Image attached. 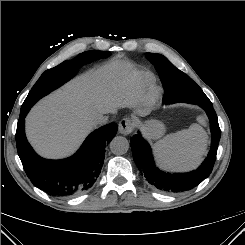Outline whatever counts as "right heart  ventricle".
<instances>
[{"mask_svg": "<svg viewBox=\"0 0 245 245\" xmlns=\"http://www.w3.org/2000/svg\"><path fill=\"white\" fill-rule=\"evenodd\" d=\"M151 82H152V80H151L150 78H147V79H146V84H147V85L151 84Z\"/></svg>", "mask_w": 245, "mask_h": 245, "instance_id": "1", "label": "right heart ventricle"}]
</instances>
